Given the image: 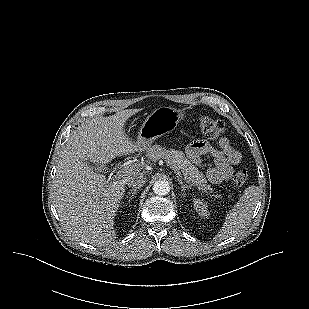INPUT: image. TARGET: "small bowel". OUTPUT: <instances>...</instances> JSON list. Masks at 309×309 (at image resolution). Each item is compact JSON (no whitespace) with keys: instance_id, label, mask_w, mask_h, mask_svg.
<instances>
[{"instance_id":"1","label":"small bowel","mask_w":309,"mask_h":309,"mask_svg":"<svg viewBox=\"0 0 309 309\" xmlns=\"http://www.w3.org/2000/svg\"><path fill=\"white\" fill-rule=\"evenodd\" d=\"M218 145L217 149L205 141H195L188 147V153L194 158L201 154H209L213 157L215 166L207 169V177L213 184L229 180L233 175V166L242 162V154L226 137H222Z\"/></svg>"}]
</instances>
